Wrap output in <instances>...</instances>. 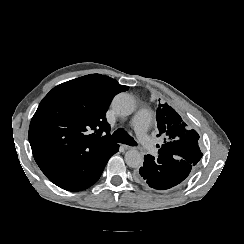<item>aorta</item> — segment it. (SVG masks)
I'll return each mask as SVG.
<instances>
[{
	"mask_svg": "<svg viewBox=\"0 0 244 244\" xmlns=\"http://www.w3.org/2000/svg\"><path fill=\"white\" fill-rule=\"evenodd\" d=\"M112 108L119 116H128L135 110V100L127 93H120L112 100ZM125 162L129 167L139 168L143 165V156L136 149H130L125 153Z\"/></svg>",
	"mask_w": 244,
	"mask_h": 244,
	"instance_id": "aorta-1",
	"label": "aorta"
}]
</instances>
